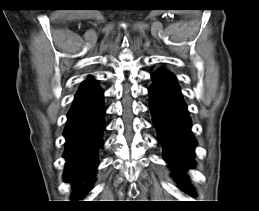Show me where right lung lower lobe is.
I'll use <instances>...</instances> for the list:
<instances>
[{"mask_svg": "<svg viewBox=\"0 0 259 211\" xmlns=\"http://www.w3.org/2000/svg\"><path fill=\"white\" fill-rule=\"evenodd\" d=\"M104 113L103 91L93 84L75 95L67 115L64 178L73 184L76 198L84 196L93 181L102 144Z\"/></svg>", "mask_w": 259, "mask_h": 211, "instance_id": "right-lung-lower-lobe-1", "label": "right lung lower lobe"}]
</instances>
